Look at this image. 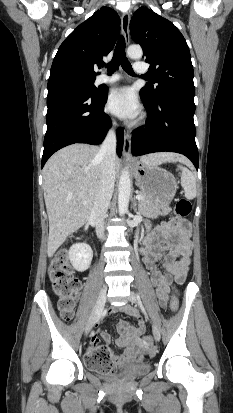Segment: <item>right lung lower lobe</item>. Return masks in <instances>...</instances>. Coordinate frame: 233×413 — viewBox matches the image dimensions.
Returning a JSON list of instances; mask_svg holds the SVG:
<instances>
[{
	"label": "right lung lower lobe",
	"instance_id": "98d812e1",
	"mask_svg": "<svg viewBox=\"0 0 233 413\" xmlns=\"http://www.w3.org/2000/svg\"><path fill=\"white\" fill-rule=\"evenodd\" d=\"M107 91L92 97L73 87L48 90L47 132L41 166L57 150L74 143L100 144L111 125L103 112ZM123 149V131L118 129L117 154Z\"/></svg>",
	"mask_w": 233,
	"mask_h": 413
}]
</instances>
